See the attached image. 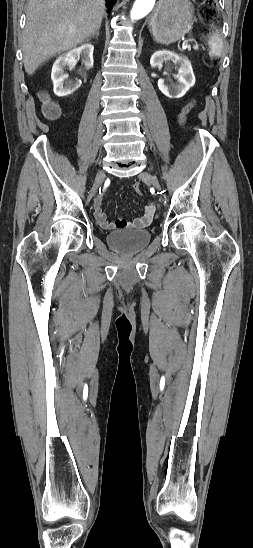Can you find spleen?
Instances as JSON below:
<instances>
[{
	"label": "spleen",
	"instance_id": "spleen-1",
	"mask_svg": "<svg viewBox=\"0 0 253 548\" xmlns=\"http://www.w3.org/2000/svg\"><path fill=\"white\" fill-rule=\"evenodd\" d=\"M207 42L210 47L209 54L211 56L220 57L223 52V41L220 33L218 31L213 32Z\"/></svg>",
	"mask_w": 253,
	"mask_h": 548
}]
</instances>
